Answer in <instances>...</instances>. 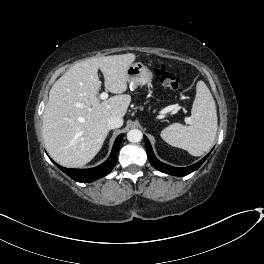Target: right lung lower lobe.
Returning <instances> with one entry per match:
<instances>
[{"mask_svg": "<svg viewBox=\"0 0 264 264\" xmlns=\"http://www.w3.org/2000/svg\"><path fill=\"white\" fill-rule=\"evenodd\" d=\"M123 134L119 135L113 145L109 158L101 165L90 169H68L56 164L64 173L77 182L90 183L96 179L106 176L114 168L117 161V152Z\"/></svg>", "mask_w": 264, "mask_h": 264, "instance_id": "1", "label": "right lung lower lobe"}]
</instances>
